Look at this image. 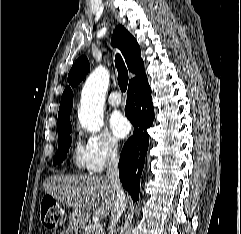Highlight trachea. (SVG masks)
I'll list each match as a JSON object with an SVG mask.
<instances>
[{"instance_id": "trachea-1", "label": "trachea", "mask_w": 241, "mask_h": 234, "mask_svg": "<svg viewBox=\"0 0 241 234\" xmlns=\"http://www.w3.org/2000/svg\"><path fill=\"white\" fill-rule=\"evenodd\" d=\"M115 64L118 70V84L122 92H125L128 85V71L119 54L115 56Z\"/></svg>"}]
</instances>
